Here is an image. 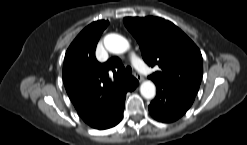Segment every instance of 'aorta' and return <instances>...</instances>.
Returning a JSON list of instances; mask_svg holds the SVG:
<instances>
[{"mask_svg":"<svg viewBox=\"0 0 247 145\" xmlns=\"http://www.w3.org/2000/svg\"><path fill=\"white\" fill-rule=\"evenodd\" d=\"M105 48L113 54H121L129 48V42L118 34H108L104 38ZM140 93L145 99H152L156 95V87L151 81H144L140 86Z\"/></svg>","mask_w":247,"mask_h":145,"instance_id":"1","label":"aorta"}]
</instances>
